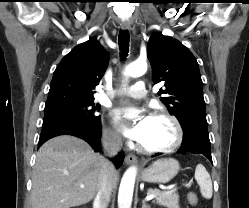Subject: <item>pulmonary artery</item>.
<instances>
[{
    "label": "pulmonary artery",
    "instance_id": "obj_1",
    "mask_svg": "<svg viewBox=\"0 0 249 208\" xmlns=\"http://www.w3.org/2000/svg\"><path fill=\"white\" fill-rule=\"evenodd\" d=\"M147 94V88L143 81H138L130 87L115 91V95L130 98H143Z\"/></svg>",
    "mask_w": 249,
    "mask_h": 208
}]
</instances>
